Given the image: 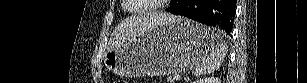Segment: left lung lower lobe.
Returning a JSON list of instances; mask_svg holds the SVG:
<instances>
[{"mask_svg": "<svg viewBox=\"0 0 307 83\" xmlns=\"http://www.w3.org/2000/svg\"><path fill=\"white\" fill-rule=\"evenodd\" d=\"M235 0H172L166 11L206 25L219 26L230 35L233 30Z\"/></svg>", "mask_w": 307, "mask_h": 83, "instance_id": "left-lung-lower-lobe-1", "label": "left lung lower lobe"}]
</instances>
